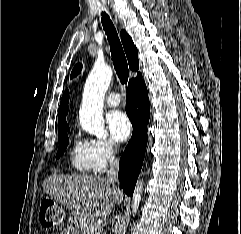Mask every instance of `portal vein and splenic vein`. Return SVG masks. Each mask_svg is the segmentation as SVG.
<instances>
[{"label": "portal vein and splenic vein", "instance_id": "obj_1", "mask_svg": "<svg viewBox=\"0 0 241 234\" xmlns=\"http://www.w3.org/2000/svg\"><path fill=\"white\" fill-rule=\"evenodd\" d=\"M98 229H101L100 225H94V227L92 228V231H97Z\"/></svg>", "mask_w": 241, "mask_h": 234}]
</instances>
